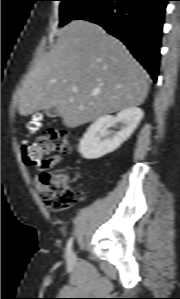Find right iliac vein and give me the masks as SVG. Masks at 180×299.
I'll return each mask as SVG.
<instances>
[{
	"label": "right iliac vein",
	"instance_id": "1",
	"mask_svg": "<svg viewBox=\"0 0 180 299\" xmlns=\"http://www.w3.org/2000/svg\"><path fill=\"white\" fill-rule=\"evenodd\" d=\"M75 260V255H74V253H70L69 255H68V261L69 262H73Z\"/></svg>",
	"mask_w": 180,
	"mask_h": 299
}]
</instances>
